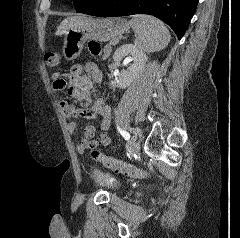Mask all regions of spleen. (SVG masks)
Masks as SVG:
<instances>
[{"label": "spleen", "mask_w": 240, "mask_h": 238, "mask_svg": "<svg viewBox=\"0 0 240 238\" xmlns=\"http://www.w3.org/2000/svg\"><path fill=\"white\" fill-rule=\"evenodd\" d=\"M136 34L135 43L148 53L164 49L171 36L164 23L149 15H136L129 21Z\"/></svg>", "instance_id": "1"}]
</instances>
